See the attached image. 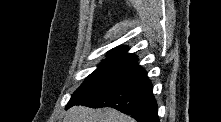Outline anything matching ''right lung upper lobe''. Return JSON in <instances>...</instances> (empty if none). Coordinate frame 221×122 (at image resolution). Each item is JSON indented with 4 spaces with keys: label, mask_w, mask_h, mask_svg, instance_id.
Instances as JSON below:
<instances>
[{
    "label": "right lung upper lobe",
    "mask_w": 221,
    "mask_h": 122,
    "mask_svg": "<svg viewBox=\"0 0 221 122\" xmlns=\"http://www.w3.org/2000/svg\"><path fill=\"white\" fill-rule=\"evenodd\" d=\"M127 51H128L127 47H117L114 49V51H111L110 55L108 56V59H123V60H134V61L138 60L136 55L128 54Z\"/></svg>",
    "instance_id": "cb5924a9"
}]
</instances>
